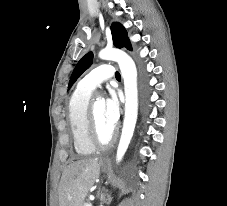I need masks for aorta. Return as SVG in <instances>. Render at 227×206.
<instances>
[{
  "label": "aorta",
  "mask_w": 227,
  "mask_h": 206,
  "mask_svg": "<svg viewBox=\"0 0 227 206\" xmlns=\"http://www.w3.org/2000/svg\"><path fill=\"white\" fill-rule=\"evenodd\" d=\"M99 58L113 60L119 64L121 75L124 80L125 91V116L122 134L117 149L116 161L119 162L124 156L132 139L138 114V90L137 69L132 58L124 51L114 48H106L99 52Z\"/></svg>",
  "instance_id": "obj_1"
}]
</instances>
